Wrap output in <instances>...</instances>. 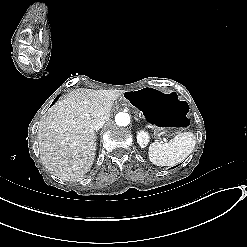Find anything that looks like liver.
Segmentation results:
<instances>
[{"mask_svg":"<svg viewBox=\"0 0 247 247\" xmlns=\"http://www.w3.org/2000/svg\"><path fill=\"white\" fill-rule=\"evenodd\" d=\"M115 100L106 91L76 89L43 115L37 138L42 163L51 175L82 180L90 171L97 150L93 125L109 120Z\"/></svg>","mask_w":247,"mask_h":247,"instance_id":"1","label":"liver"}]
</instances>
